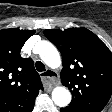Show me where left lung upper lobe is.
<instances>
[{
	"instance_id": "left-lung-upper-lobe-1",
	"label": "left lung upper lobe",
	"mask_w": 112,
	"mask_h": 112,
	"mask_svg": "<svg viewBox=\"0 0 112 112\" xmlns=\"http://www.w3.org/2000/svg\"><path fill=\"white\" fill-rule=\"evenodd\" d=\"M62 54V84L72 93L69 107L101 111L112 94V53L86 28L45 30Z\"/></svg>"
}]
</instances>
